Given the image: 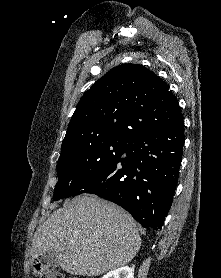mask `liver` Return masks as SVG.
Segmentation results:
<instances>
[{
	"instance_id": "obj_1",
	"label": "liver",
	"mask_w": 221,
	"mask_h": 278,
	"mask_svg": "<svg viewBox=\"0 0 221 278\" xmlns=\"http://www.w3.org/2000/svg\"><path fill=\"white\" fill-rule=\"evenodd\" d=\"M141 238L132 216L119 206L84 194L54 211L33 238L32 256L57 254L72 275L100 276L128 264Z\"/></svg>"
}]
</instances>
